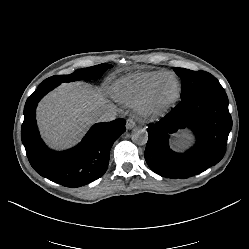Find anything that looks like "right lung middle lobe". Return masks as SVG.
<instances>
[{
  "label": "right lung middle lobe",
  "mask_w": 249,
  "mask_h": 249,
  "mask_svg": "<svg viewBox=\"0 0 249 249\" xmlns=\"http://www.w3.org/2000/svg\"><path fill=\"white\" fill-rule=\"evenodd\" d=\"M112 65L110 64H99L96 66L78 69L72 74L69 75H57L52 76L50 78L45 79L40 85L44 84H61L63 82H72L77 80H92V79H99L102 74L109 68H111Z\"/></svg>",
  "instance_id": "right-lung-middle-lobe-1"
}]
</instances>
